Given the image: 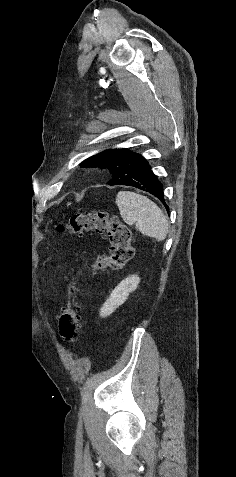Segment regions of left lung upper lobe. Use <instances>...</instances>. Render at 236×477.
I'll use <instances>...</instances> for the list:
<instances>
[{"instance_id":"obj_1","label":"left lung upper lobe","mask_w":236,"mask_h":477,"mask_svg":"<svg viewBox=\"0 0 236 477\" xmlns=\"http://www.w3.org/2000/svg\"><path fill=\"white\" fill-rule=\"evenodd\" d=\"M140 156V154L128 149H109L89 157L80 165L82 167L107 168L113 176L107 184L118 185L130 175L135 162Z\"/></svg>"}]
</instances>
